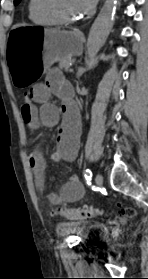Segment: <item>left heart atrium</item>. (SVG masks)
I'll list each match as a JSON object with an SVG mask.
<instances>
[{
  "label": "left heart atrium",
  "instance_id": "obj_1",
  "mask_svg": "<svg viewBox=\"0 0 148 279\" xmlns=\"http://www.w3.org/2000/svg\"><path fill=\"white\" fill-rule=\"evenodd\" d=\"M97 1L98 0H77L81 14L91 13L97 4Z\"/></svg>",
  "mask_w": 148,
  "mask_h": 279
}]
</instances>
